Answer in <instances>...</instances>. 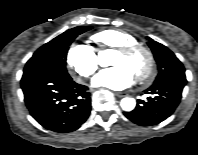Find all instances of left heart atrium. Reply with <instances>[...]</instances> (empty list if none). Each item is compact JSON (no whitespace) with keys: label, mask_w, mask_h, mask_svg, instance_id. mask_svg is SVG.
<instances>
[{"label":"left heart atrium","mask_w":198,"mask_h":155,"mask_svg":"<svg viewBox=\"0 0 198 155\" xmlns=\"http://www.w3.org/2000/svg\"><path fill=\"white\" fill-rule=\"evenodd\" d=\"M135 81V75L126 65L100 71L92 80L94 86L109 88L112 90H123L131 86Z\"/></svg>","instance_id":"1"}]
</instances>
